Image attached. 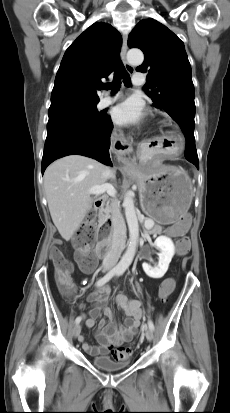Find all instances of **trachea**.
<instances>
[{
  "label": "trachea",
  "mask_w": 230,
  "mask_h": 413,
  "mask_svg": "<svg viewBox=\"0 0 230 413\" xmlns=\"http://www.w3.org/2000/svg\"><path fill=\"white\" fill-rule=\"evenodd\" d=\"M121 80L125 86L129 87L131 85V78L129 73L125 70L123 64L119 62L114 73V78L111 83H107L101 86V89H110L113 93L117 92L121 87Z\"/></svg>",
  "instance_id": "obj_1"
}]
</instances>
